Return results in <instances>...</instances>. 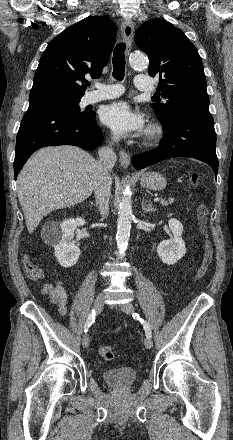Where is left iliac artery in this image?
<instances>
[{
	"label": "left iliac artery",
	"mask_w": 233,
	"mask_h": 440,
	"mask_svg": "<svg viewBox=\"0 0 233 440\" xmlns=\"http://www.w3.org/2000/svg\"><path fill=\"white\" fill-rule=\"evenodd\" d=\"M133 317L138 319L143 324V327H144L145 332H146V336L148 338H151L152 337V332H151V328H150L148 322L145 321L144 319L140 318V316L137 313H134Z\"/></svg>",
	"instance_id": "1"
}]
</instances>
